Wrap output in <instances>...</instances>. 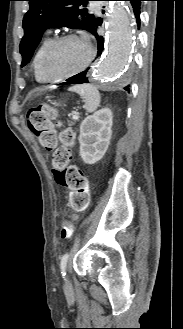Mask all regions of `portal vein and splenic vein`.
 I'll use <instances>...</instances> for the list:
<instances>
[{
    "mask_svg": "<svg viewBox=\"0 0 183 329\" xmlns=\"http://www.w3.org/2000/svg\"><path fill=\"white\" fill-rule=\"evenodd\" d=\"M72 117H73V119H75V120H77V119L79 118V116H78L77 113H74Z\"/></svg>",
    "mask_w": 183,
    "mask_h": 329,
    "instance_id": "1",
    "label": "portal vein and splenic vein"
}]
</instances>
